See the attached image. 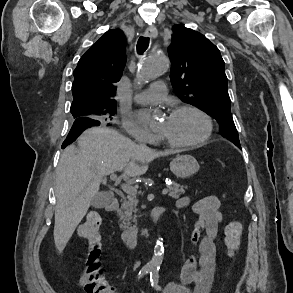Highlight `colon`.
<instances>
[{"instance_id": "1", "label": "colon", "mask_w": 293, "mask_h": 293, "mask_svg": "<svg viewBox=\"0 0 293 293\" xmlns=\"http://www.w3.org/2000/svg\"><path fill=\"white\" fill-rule=\"evenodd\" d=\"M101 216L96 211L87 213L78 228V236L85 241V253L80 282L86 293H114L103 271L100 256ZM242 225L238 220L230 221L225 227V247L228 255H233L240 247Z\"/></svg>"}]
</instances>
